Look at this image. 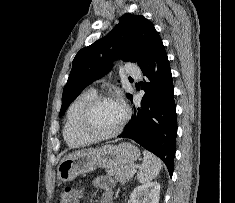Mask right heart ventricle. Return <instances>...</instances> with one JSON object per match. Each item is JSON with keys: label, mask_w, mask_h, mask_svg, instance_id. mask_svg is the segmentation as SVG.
I'll return each mask as SVG.
<instances>
[{"label": "right heart ventricle", "mask_w": 235, "mask_h": 203, "mask_svg": "<svg viewBox=\"0 0 235 203\" xmlns=\"http://www.w3.org/2000/svg\"><path fill=\"white\" fill-rule=\"evenodd\" d=\"M96 95L97 93L94 89H87L80 93L70 104L63 130L64 140L70 147L85 146L93 141L79 132L78 120L85 104Z\"/></svg>", "instance_id": "e07e8e85"}]
</instances>
